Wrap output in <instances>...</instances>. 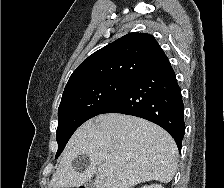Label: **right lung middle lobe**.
I'll use <instances>...</instances> for the list:
<instances>
[{
  "label": "right lung middle lobe",
  "mask_w": 224,
  "mask_h": 188,
  "mask_svg": "<svg viewBox=\"0 0 224 188\" xmlns=\"http://www.w3.org/2000/svg\"><path fill=\"white\" fill-rule=\"evenodd\" d=\"M132 82L133 79L128 78H107L65 88L58 108L56 158L75 130L88 119L99 115Z\"/></svg>",
  "instance_id": "obj_1"
}]
</instances>
